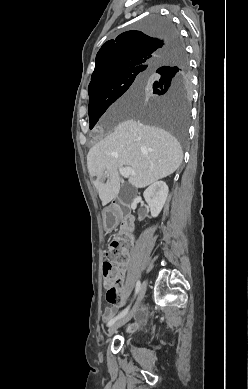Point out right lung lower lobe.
Returning <instances> with one entry per match:
<instances>
[{
  "label": "right lung lower lobe",
  "instance_id": "right-lung-lower-lobe-1",
  "mask_svg": "<svg viewBox=\"0 0 248 389\" xmlns=\"http://www.w3.org/2000/svg\"><path fill=\"white\" fill-rule=\"evenodd\" d=\"M172 53H176V54H178V55H185L184 48H183V46H182V44H181L180 41H179V48H178V49H175ZM158 69H159V68H158ZM158 69H157V70H158ZM157 70H156V72H157ZM158 73H161V72L159 71Z\"/></svg>",
  "mask_w": 248,
  "mask_h": 389
}]
</instances>
